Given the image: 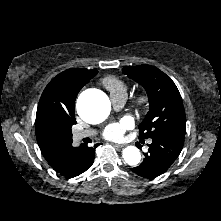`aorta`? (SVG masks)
I'll use <instances>...</instances> for the list:
<instances>
[{"instance_id": "1", "label": "aorta", "mask_w": 221, "mask_h": 221, "mask_svg": "<svg viewBox=\"0 0 221 221\" xmlns=\"http://www.w3.org/2000/svg\"><path fill=\"white\" fill-rule=\"evenodd\" d=\"M110 101L101 93L82 95L77 101V112L85 121L96 123L106 119L110 113ZM122 156L124 161L131 166L137 165L141 160V154L137 147L127 146Z\"/></svg>"}]
</instances>
